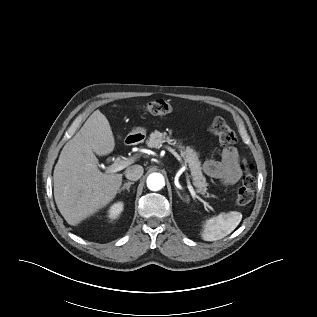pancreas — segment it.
Listing matches in <instances>:
<instances>
[{
	"mask_svg": "<svg viewBox=\"0 0 317 317\" xmlns=\"http://www.w3.org/2000/svg\"><path fill=\"white\" fill-rule=\"evenodd\" d=\"M164 142H167L169 145L176 146L179 151L181 157H183L184 161L189 165L191 174L193 176V184L197 187V192L204 195L205 197H209L207 193V183L206 178L202 173L201 161L199 160V154L191 147L184 146L182 143L177 142L175 139H172L167 135L166 132L161 133L159 131H154L150 134L149 140L147 141L148 147L151 148H159L162 146Z\"/></svg>",
	"mask_w": 317,
	"mask_h": 317,
	"instance_id": "cf45deb5",
	"label": "pancreas"
}]
</instances>
